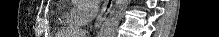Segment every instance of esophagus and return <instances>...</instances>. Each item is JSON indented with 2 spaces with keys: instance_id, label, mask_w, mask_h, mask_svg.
<instances>
[{
  "instance_id": "1",
  "label": "esophagus",
  "mask_w": 219,
  "mask_h": 37,
  "mask_svg": "<svg viewBox=\"0 0 219 37\" xmlns=\"http://www.w3.org/2000/svg\"><path fill=\"white\" fill-rule=\"evenodd\" d=\"M113 4V0H106L102 6V9L99 13V15L97 16L96 22H95V28L98 29L103 20L105 19V17L107 16V14L109 13L111 7Z\"/></svg>"
}]
</instances>
